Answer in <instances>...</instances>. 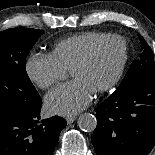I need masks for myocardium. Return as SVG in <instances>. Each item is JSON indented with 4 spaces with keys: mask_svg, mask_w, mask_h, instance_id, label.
I'll list each match as a JSON object with an SVG mask.
<instances>
[{
    "mask_svg": "<svg viewBox=\"0 0 155 155\" xmlns=\"http://www.w3.org/2000/svg\"><path fill=\"white\" fill-rule=\"evenodd\" d=\"M111 40H118L122 43L123 58L115 76L107 84L97 89L95 93H103L112 89L122 79L129 59V46H128L127 40L123 36L118 34H107L106 36L100 38L95 43H93L90 46V48L85 52V54L77 62H75L73 66L70 68V72H72L76 69L84 67L86 64H88L91 61V59L93 58V56L95 55L99 47L103 45L105 42H108Z\"/></svg>",
    "mask_w": 155,
    "mask_h": 155,
    "instance_id": "myocardium-1",
    "label": "myocardium"
}]
</instances>
